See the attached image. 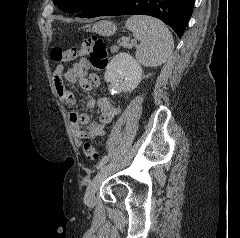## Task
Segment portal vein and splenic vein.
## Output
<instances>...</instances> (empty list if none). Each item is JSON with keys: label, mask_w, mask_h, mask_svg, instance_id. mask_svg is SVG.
Here are the masks:
<instances>
[{"label": "portal vein and splenic vein", "mask_w": 240, "mask_h": 238, "mask_svg": "<svg viewBox=\"0 0 240 238\" xmlns=\"http://www.w3.org/2000/svg\"><path fill=\"white\" fill-rule=\"evenodd\" d=\"M122 45H123L125 48H131L132 45H133V42H131V44H129V39H125V40L122 42Z\"/></svg>", "instance_id": "obj_1"}]
</instances>
